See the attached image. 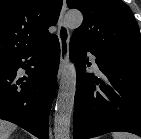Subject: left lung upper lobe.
<instances>
[{
    "label": "left lung upper lobe",
    "instance_id": "5c2ea615",
    "mask_svg": "<svg viewBox=\"0 0 141 139\" xmlns=\"http://www.w3.org/2000/svg\"><path fill=\"white\" fill-rule=\"evenodd\" d=\"M83 13L72 38L117 57L141 61V35L131 9L122 0H67Z\"/></svg>",
    "mask_w": 141,
    "mask_h": 139
}]
</instances>
